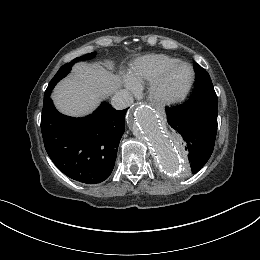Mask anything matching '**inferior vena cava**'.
I'll return each instance as SVG.
<instances>
[{
    "label": "inferior vena cava",
    "instance_id": "602c4592",
    "mask_svg": "<svg viewBox=\"0 0 260 260\" xmlns=\"http://www.w3.org/2000/svg\"><path fill=\"white\" fill-rule=\"evenodd\" d=\"M133 103V96L126 90H117L111 98V105L116 110L127 108Z\"/></svg>",
    "mask_w": 260,
    "mask_h": 260
}]
</instances>
